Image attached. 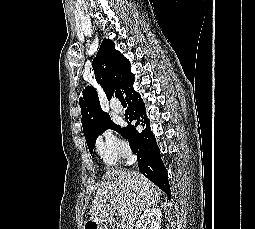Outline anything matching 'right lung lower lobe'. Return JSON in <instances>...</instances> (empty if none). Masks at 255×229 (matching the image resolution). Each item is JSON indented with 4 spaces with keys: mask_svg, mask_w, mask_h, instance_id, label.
<instances>
[{
    "mask_svg": "<svg viewBox=\"0 0 255 229\" xmlns=\"http://www.w3.org/2000/svg\"><path fill=\"white\" fill-rule=\"evenodd\" d=\"M134 79L133 74H131L128 86L124 91L128 103V109L125 113L128 126L123 128V135L127 137L132 151L137 155L140 172L163 190L170 199L171 191L167 170L161 160L155 136L150 129L145 105L139 93L133 89ZM138 126L142 127L139 132L136 130Z\"/></svg>",
    "mask_w": 255,
    "mask_h": 229,
    "instance_id": "98d812e1",
    "label": "right lung lower lobe"
}]
</instances>
